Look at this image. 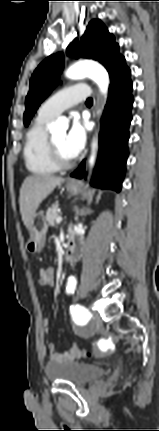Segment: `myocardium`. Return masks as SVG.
Instances as JSON below:
<instances>
[{"label": "myocardium", "mask_w": 159, "mask_h": 431, "mask_svg": "<svg viewBox=\"0 0 159 431\" xmlns=\"http://www.w3.org/2000/svg\"><path fill=\"white\" fill-rule=\"evenodd\" d=\"M48 145H49L50 158L56 167H58L59 169H64V168H69L73 166V164L75 163V159L64 158L61 155L58 147L56 146L52 136L48 137Z\"/></svg>", "instance_id": "1"}]
</instances>
